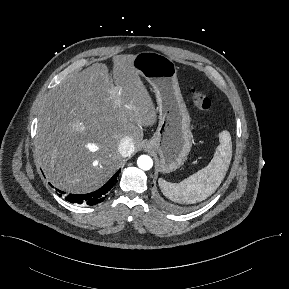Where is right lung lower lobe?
I'll return each mask as SVG.
<instances>
[{
	"label": "right lung lower lobe",
	"instance_id": "1",
	"mask_svg": "<svg viewBox=\"0 0 289 289\" xmlns=\"http://www.w3.org/2000/svg\"><path fill=\"white\" fill-rule=\"evenodd\" d=\"M119 172H120V170H118L113 175V177L104 186H102L100 189H98L94 192L88 193V194H68L65 199L71 203H78V204L84 203V204H87L90 206L98 204L105 199L108 192L115 184L117 177L119 175ZM59 192L61 194L64 193L62 191H59Z\"/></svg>",
	"mask_w": 289,
	"mask_h": 289
}]
</instances>
